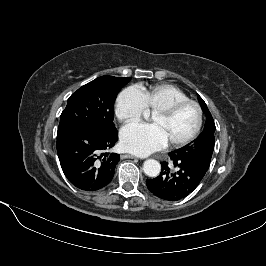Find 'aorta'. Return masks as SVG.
Returning a JSON list of instances; mask_svg holds the SVG:
<instances>
[{
	"label": "aorta",
	"mask_w": 266,
	"mask_h": 266,
	"mask_svg": "<svg viewBox=\"0 0 266 266\" xmlns=\"http://www.w3.org/2000/svg\"><path fill=\"white\" fill-rule=\"evenodd\" d=\"M143 171L149 177H157L161 172V165L157 160L148 159L143 164Z\"/></svg>",
	"instance_id": "762f6f07"
}]
</instances>
